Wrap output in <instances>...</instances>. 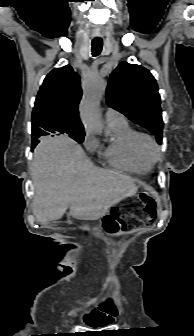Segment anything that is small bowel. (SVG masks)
Returning a JSON list of instances; mask_svg holds the SVG:
<instances>
[{
  "instance_id": "small-bowel-1",
  "label": "small bowel",
  "mask_w": 194,
  "mask_h": 336,
  "mask_svg": "<svg viewBox=\"0 0 194 336\" xmlns=\"http://www.w3.org/2000/svg\"><path fill=\"white\" fill-rule=\"evenodd\" d=\"M115 310L113 309H105L104 312H100L98 316L94 317L90 322L91 325L96 326H106L111 323V320L115 316Z\"/></svg>"
}]
</instances>
